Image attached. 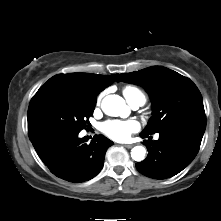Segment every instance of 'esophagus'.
I'll list each match as a JSON object with an SVG mask.
<instances>
[{
    "label": "esophagus",
    "instance_id": "esophagus-1",
    "mask_svg": "<svg viewBox=\"0 0 221 221\" xmlns=\"http://www.w3.org/2000/svg\"><path fill=\"white\" fill-rule=\"evenodd\" d=\"M123 146L126 147V148H128V149H130V148H132L134 145H133V144H124Z\"/></svg>",
    "mask_w": 221,
    "mask_h": 221
}]
</instances>
